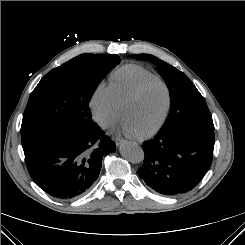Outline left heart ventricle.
<instances>
[{
    "label": "left heart ventricle",
    "instance_id": "1",
    "mask_svg": "<svg viewBox=\"0 0 245 245\" xmlns=\"http://www.w3.org/2000/svg\"><path fill=\"white\" fill-rule=\"evenodd\" d=\"M165 104L166 93L163 86L153 82L135 100L123 107L121 115L137 134H141L157 124Z\"/></svg>",
    "mask_w": 245,
    "mask_h": 245
}]
</instances>
